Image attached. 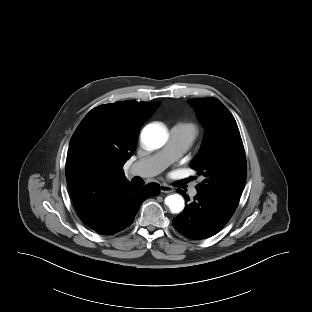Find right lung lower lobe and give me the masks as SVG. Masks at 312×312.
Instances as JSON below:
<instances>
[{
    "mask_svg": "<svg viewBox=\"0 0 312 312\" xmlns=\"http://www.w3.org/2000/svg\"><path fill=\"white\" fill-rule=\"evenodd\" d=\"M160 187L156 183L146 186L126 185L110 205L93 221L85 223L101 235L115 234L128 227L134 220L142 202L158 195Z\"/></svg>",
    "mask_w": 312,
    "mask_h": 312,
    "instance_id": "right-lung-lower-lobe-1",
    "label": "right lung lower lobe"
}]
</instances>
